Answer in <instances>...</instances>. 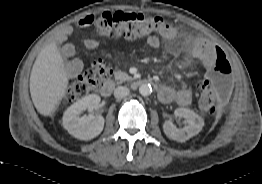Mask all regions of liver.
<instances>
[{"label": "liver", "instance_id": "liver-1", "mask_svg": "<svg viewBox=\"0 0 262 184\" xmlns=\"http://www.w3.org/2000/svg\"><path fill=\"white\" fill-rule=\"evenodd\" d=\"M68 76L55 43H49L38 54L30 75V93L37 111L51 116L63 99Z\"/></svg>", "mask_w": 262, "mask_h": 184}]
</instances>
